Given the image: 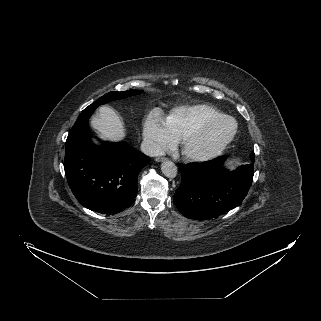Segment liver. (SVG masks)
I'll use <instances>...</instances> for the list:
<instances>
[{"instance_id": "obj_1", "label": "liver", "mask_w": 321, "mask_h": 321, "mask_svg": "<svg viewBox=\"0 0 321 321\" xmlns=\"http://www.w3.org/2000/svg\"><path fill=\"white\" fill-rule=\"evenodd\" d=\"M91 125L94 129L110 141H121L125 138V129L122 121L115 111L107 106L99 108V114L92 118Z\"/></svg>"}]
</instances>
